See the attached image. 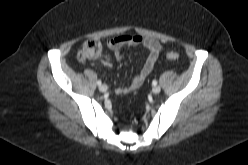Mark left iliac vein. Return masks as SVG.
<instances>
[{"label": "left iliac vein", "instance_id": "1", "mask_svg": "<svg viewBox=\"0 0 248 165\" xmlns=\"http://www.w3.org/2000/svg\"><path fill=\"white\" fill-rule=\"evenodd\" d=\"M160 91H161V88L159 86H156V85L153 86L152 92L154 94H158V93H160Z\"/></svg>", "mask_w": 248, "mask_h": 165}]
</instances>
